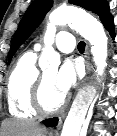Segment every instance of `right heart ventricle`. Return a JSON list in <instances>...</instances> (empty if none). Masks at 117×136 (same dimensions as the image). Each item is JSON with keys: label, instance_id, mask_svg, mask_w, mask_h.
Wrapping results in <instances>:
<instances>
[{"label": "right heart ventricle", "instance_id": "obj_1", "mask_svg": "<svg viewBox=\"0 0 117 136\" xmlns=\"http://www.w3.org/2000/svg\"><path fill=\"white\" fill-rule=\"evenodd\" d=\"M39 76L36 53H24L7 81L6 97L9 112L18 118H34L37 113L32 107V93Z\"/></svg>", "mask_w": 117, "mask_h": 136}]
</instances>
